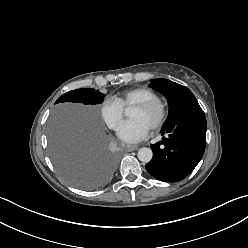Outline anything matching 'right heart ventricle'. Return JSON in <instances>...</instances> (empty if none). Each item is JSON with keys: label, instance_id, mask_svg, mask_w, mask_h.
<instances>
[{"label": "right heart ventricle", "instance_id": "e07e8e85", "mask_svg": "<svg viewBox=\"0 0 248 248\" xmlns=\"http://www.w3.org/2000/svg\"><path fill=\"white\" fill-rule=\"evenodd\" d=\"M157 97L156 93L146 87L131 88L123 93L114 96L112 99L116 101L122 109L133 106L136 103Z\"/></svg>", "mask_w": 248, "mask_h": 248}]
</instances>
